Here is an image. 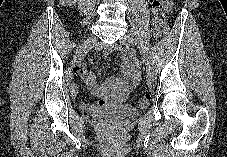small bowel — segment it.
I'll use <instances>...</instances> for the list:
<instances>
[{
    "label": "small bowel",
    "instance_id": "small-bowel-1",
    "mask_svg": "<svg viewBox=\"0 0 227 157\" xmlns=\"http://www.w3.org/2000/svg\"><path fill=\"white\" fill-rule=\"evenodd\" d=\"M165 10L169 11L172 8L171 0H161ZM112 47H108L109 51ZM122 79H108L102 83L96 81L95 75L88 71L83 64H79L74 69V74L84 79L86 84L91 89L92 93L99 97L96 104H89L83 101H78L77 104L84 110H97L104 107L108 101H123L131 90L138 84L140 78L139 64L132 52L124 53V63L122 65ZM72 97L75 99L78 94V89L74 83L70 85Z\"/></svg>",
    "mask_w": 227,
    "mask_h": 157
}]
</instances>
